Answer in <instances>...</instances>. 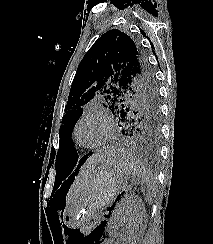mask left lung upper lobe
Returning <instances> with one entry per match:
<instances>
[{
  "instance_id": "obj_1",
  "label": "left lung upper lobe",
  "mask_w": 213,
  "mask_h": 244,
  "mask_svg": "<svg viewBox=\"0 0 213 244\" xmlns=\"http://www.w3.org/2000/svg\"><path fill=\"white\" fill-rule=\"evenodd\" d=\"M97 97L119 120L159 131V98L153 73L130 36L117 29L102 34L78 66L60 127L55 157L58 179L70 173L78 158L71 134L83 113L82 106Z\"/></svg>"
}]
</instances>
